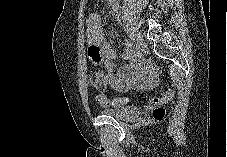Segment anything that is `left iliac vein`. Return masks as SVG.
<instances>
[{
	"instance_id": "obj_1",
	"label": "left iliac vein",
	"mask_w": 227,
	"mask_h": 157,
	"mask_svg": "<svg viewBox=\"0 0 227 157\" xmlns=\"http://www.w3.org/2000/svg\"><path fill=\"white\" fill-rule=\"evenodd\" d=\"M132 31H133V36L135 38V41H136V44H137L138 48L142 52H145L147 50V44L144 41L143 37L141 36V34L137 30L133 29Z\"/></svg>"
}]
</instances>
